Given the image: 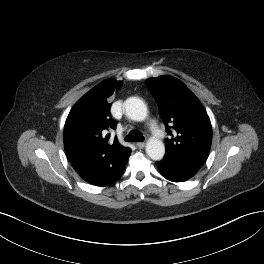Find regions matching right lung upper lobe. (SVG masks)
I'll list each match as a JSON object with an SVG mask.
<instances>
[{
	"label": "right lung upper lobe",
	"mask_w": 264,
	"mask_h": 264,
	"mask_svg": "<svg viewBox=\"0 0 264 264\" xmlns=\"http://www.w3.org/2000/svg\"><path fill=\"white\" fill-rule=\"evenodd\" d=\"M121 81L105 80L87 92L71 109L64 126V148L73 164L103 161L118 165L130 155L117 139L108 143L107 131L115 129L110 116L111 96Z\"/></svg>",
	"instance_id": "obj_1"
}]
</instances>
